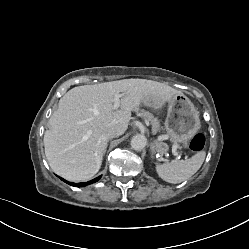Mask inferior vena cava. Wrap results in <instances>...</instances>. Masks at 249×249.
I'll list each match as a JSON object with an SVG mask.
<instances>
[{
	"mask_svg": "<svg viewBox=\"0 0 249 249\" xmlns=\"http://www.w3.org/2000/svg\"><path fill=\"white\" fill-rule=\"evenodd\" d=\"M117 136H119L118 131L112 127L105 128L101 134V138L106 141Z\"/></svg>",
	"mask_w": 249,
	"mask_h": 249,
	"instance_id": "602c4592",
	"label": "inferior vena cava"
}]
</instances>
